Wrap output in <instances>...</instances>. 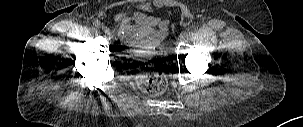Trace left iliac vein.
I'll return each mask as SVG.
<instances>
[{"label":"left iliac vein","instance_id":"obj_1","mask_svg":"<svg viewBox=\"0 0 303 127\" xmlns=\"http://www.w3.org/2000/svg\"><path fill=\"white\" fill-rule=\"evenodd\" d=\"M179 39H180L181 41H185L186 36H185V33H184V32L180 34Z\"/></svg>","mask_w":303,"mask_h":127}]
</instances>
